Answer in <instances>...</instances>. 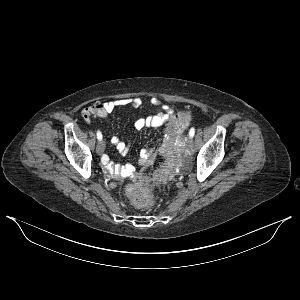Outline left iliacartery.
<instances>
[{
	"mask_svg": "<svg viewBox=\"0 0 300 300\" xmlns=\"http://www.w3.org/2000/svg\"><path fill=\"white\" fill-rule=\"evenodd\" d=\"M194 134H195V129L192 127V128L190 129V131H189V136H190V137H193Z\"/></svg>",
	"mask_w": 300,
	"mask_h": 300,
	"instance_id": "44dca946",
	"label": "left iliac artery"
}]
</instances>
